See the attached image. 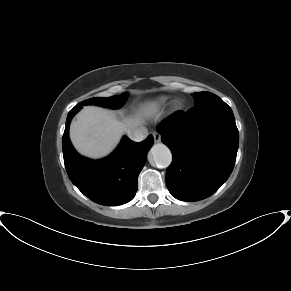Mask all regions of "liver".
<instances>
[{"label": "liver", "mask_w": 291, "mask_h": 291, "mask_svg": "<svg viewBox=\"0 0 291 291\" xmlns=\"http://www.w3.org/2000/svg\"><path fill=\"white\" fill-rule=\"evenodd\" d=\"M142 123V114L125 118L121 122L110 110L86 106L71 123L70 139L80 154L98 159L108 155L116 147L122 134Z\"/></svg>", "instance_id": "6515ba94"}]
</instances>
